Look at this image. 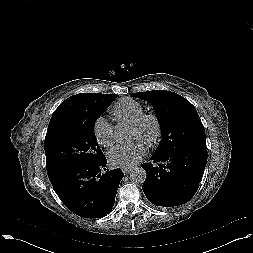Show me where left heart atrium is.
Segmentation results:
<instances>
[{
	"label": "left heart atrium",
	"mask_w": 253,
	"mask_h": 253,
	"mask_svg": "<svg viewBox=\"0 0 253 253\" xmlns=\"http://www.w3.org/2000/svg\"><path fill=\"white\" fill-rule=\"evenodd\" d=\"M146 153V145L140 139L114 146L108 153L111 165L128 167L136 164Z\"/></svg>",
	"instance_id": "left-heart-atrium-1"
}]
</instances>
